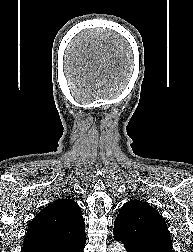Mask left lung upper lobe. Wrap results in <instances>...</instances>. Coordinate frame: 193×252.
I'll list each match as a JSON object with an SVG mask.
<instances>
[{
  "mask_svg": "<svg viewBox=\"0 0 193 252\" xmlns=\"http://www.w3.org/2000/svg\"><path fill=\"white\" fill-rule=\"evenodd\" d=\"M114 239L127 250L162 246L172 250L167 224L158 211L146 202L131 200L120 209L114 222Z\"/></svg>",
  "mask_w": 193,
  "mask_h": 252,
  "instance_id": "left-lung-upper-lobe-1",
  "label": "left lung upper lobe"
}]
</instances>
